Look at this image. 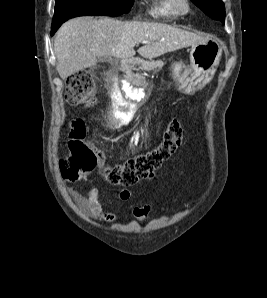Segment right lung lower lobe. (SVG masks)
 Wrapping results in <instances>:
<instances>
[{
	"label": "right lung lower lobe",
	"instance_id": "obj_1",
	"mask_svg": "<svg viewBox=\"0 0 267 298\" xmlns=\"http://www.w3.org/2000/svg\"><path fill=\"white\" fill-rule=\"evenodd\" d=\"M62 23H52V30H51V35H53L56 30L60 27Z\"/></svg>",
	"mask_w": 267,
	"mask_h": 298
}]
</instances>
